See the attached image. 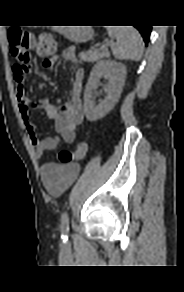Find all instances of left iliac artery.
Here are the masks:
<instances>
[{
  "label": "left iliac artery",
  "mask_w": 184,
  "mask_h": 292,
  "mask_svg": "<svg viewBox=\"0 0 184 292\" xmlns=\"http://www.w3.org/2000/svg\"><path fill=\"white\" fill-rule=\"evenodd\" d=\"M61 231H62V239L66 241L68 239V231H69V217L67 212H63L61 216Z\"/></svg>",
  "instance_id": "1"
}]
</instances>
